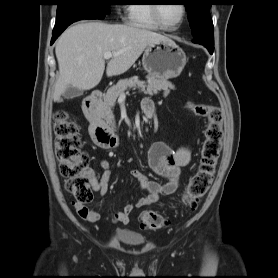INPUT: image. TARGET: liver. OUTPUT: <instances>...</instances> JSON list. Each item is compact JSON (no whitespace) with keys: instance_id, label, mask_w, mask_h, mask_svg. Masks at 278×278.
<instances>
[{"instance_id":"liver-1","label":"liver","mask_w":278,"mask_h":278,"mask_svg":"<svg viewBox=\"0 0 278 278\" xmlns=\"http://www.w3.org/2000/svg\"><path fill=\"white\" fill-rule=\"evenodd\" d=\"M168 38L135 26L84 22L68 28L58 39L55 53L59 77L53 99L59 101L69 86L81 90L96 87L105 70L104 53H118L107 63V76L125 73L149 44Z\"/></svg>"}]
</instances>
